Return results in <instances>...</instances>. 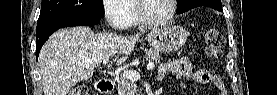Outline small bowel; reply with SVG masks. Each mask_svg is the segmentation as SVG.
<instances>
[{
  "label": "small bowel",
  "instance_id": "1",
  "mask_svg": "<svg viewBox=\"0 0 277 95\" xmlns=\"http://www.w3.org/2000/svg\"><path fill=\"white\" fill-rule=\"evenodd\" d=\"M168 74L177 78H191L199 83H209L217 87L220 94H228L224 81L219 75L205 69L193 70L189 56L171 59L160 64L157 70L158 77L162 79Z\"/></svg>",
  "mask_w": 277,
  "mask_h": 95
}]
</instances>
